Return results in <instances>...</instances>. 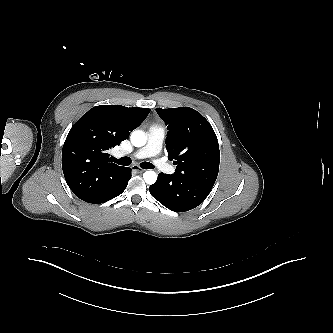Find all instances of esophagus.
Here are the masks:
<instances>
[{
  "instance_id": "1",
  "label": "esophagus",
  "mask_w": 333,
  "mask_h": 333,
  "mask_svg": "<svg viewBox=\"0 0 333 333\" xmlns=\"http://www.w3.org/2000/svg\"><path fill=\"white\" fill-rule=\"evenodd\" d=\"M131 169L134 170V171L140 172V173H142V172L145 171L144 169H142V168H141L140 166H138V165H132Z\"/></svg>"
}]
</instances>
